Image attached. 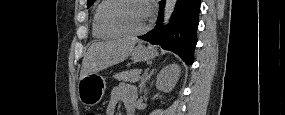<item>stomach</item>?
<instances>
[{"instance_id":"0dacf381","label":"stomach","mask_w":285,"mask_h":115,"mask_svg":"<svg viewBox=\"0 0 285 115\" xmlns=\"http://www.w3.org/2000/svg\"><path fill=\"white\" fill-rule=\"evenodd\" d=\"M156 52L142 44L136 46L131 57L135 62H143L155 57ZM106 90L105 79L98 74H89L81 78L78 82V96L80 101L86 106H95L104 96Z\"/></svg>"}]
</instances>
